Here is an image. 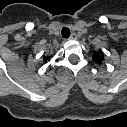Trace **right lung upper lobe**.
I'll return each instance as SVG.
<instances>
[{"label":"right lung upper lobe","mask_w":127,"mask_h":127,"mask_svg":"<svg viewBox=\"0 0 127 127\" xmlns=\"http://www.w3.org/2000/svg\"><path fill=\"white\" fill-rule=\"evenodd\" d=\"M50 59V57H44V60L45 61H47V60H49Z\"/></svg>","instance_id":"cb5924a9"}]
</instances>
